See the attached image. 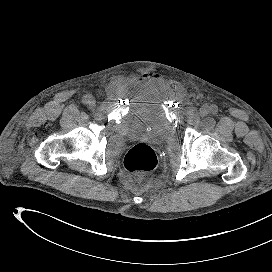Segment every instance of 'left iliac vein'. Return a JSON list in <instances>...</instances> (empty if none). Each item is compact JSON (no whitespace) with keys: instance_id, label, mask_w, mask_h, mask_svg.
Listing matches in <instances>:
<instances>
[{"instance_id":"obj_1","label":"left iliac vein","mask_w":272,"mask_h":272,"mask_svg":"<svg viewBox=\"0 0 272 272\" xmlns=\"http://www.w3.org/2000/svg\"><path fill=\"white\" fill-rule=\"evenodd\" d=\"M209 113V108L207 106H203L201 109H200V115L202 117L206 116L207 114Z\"/></svg>"}]
</instances>
